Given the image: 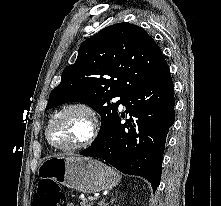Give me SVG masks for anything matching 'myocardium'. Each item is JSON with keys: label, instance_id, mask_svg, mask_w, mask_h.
<instances>
[{"label": "myocardium", "instance_id": "myocardium-1", "mask_svg": "<svg viewBox=\"0 0 221 206\" xmlns=\"http://www.w3.org/2000/svg\"><path fill=\"white\" fill-rule=\"evenodd\" d=\"M72 111H78L86 116L88 120V132L86 136L83 139L72 144H65V145L55 144L52 141L51 135H50V131L54 122L58 118H60L62 115L68 112H72ZM98 130H99V122H98L97 114L94 111V109L88 104L83 103V102H72L58 109L50 117L46 126L45 135H46V139L48 143L54 148L63 150V151H72V150H81L90 146L95 140Z\"/></svg>", "mask_w": 221, "mask_h": 206}]
</instances>
